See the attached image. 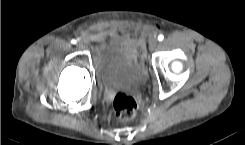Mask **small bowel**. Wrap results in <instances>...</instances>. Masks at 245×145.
Here are the masks:
<instances>
[{
  "label": "small bowel",
  "mask_w": 245,
  "mask_h": 145,
  "mask_svg": "<svg viewBox=\"0 0 245 145\" xmlns=\"http://www.w3.org/2000/svg\"><path fill=\"white\" fill-rule=\"evenodd\" d=\"M106 32L103 30L92 32L89 34V39L92 42H99L104 36Z\"/></svg>",
  "instance_id": "c3829d8e"
}]
</instances>
